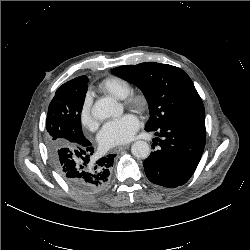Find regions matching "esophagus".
I'll return each instance as SVG.
<instances>
[{
	"mask_svg": "<svg viewBox=\"0 0 250 250\" xmlns=\"http://www.w3.org/2000/svg\"><path fill=\"white\" fill-rule=\"evenodd\" d=\"M130 144H126V145H122V146H117L114 149H112L113 153H119L122 150H125L127 148H129Z\"/></svg>",
	"mask_w": 250,
	"mask_h": 250,
	"instance_id": "1",
	"label": "esophagus"
}]
</instances>
